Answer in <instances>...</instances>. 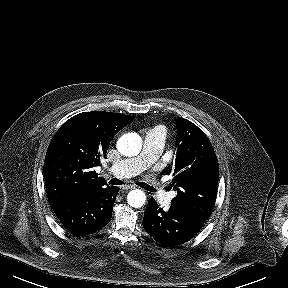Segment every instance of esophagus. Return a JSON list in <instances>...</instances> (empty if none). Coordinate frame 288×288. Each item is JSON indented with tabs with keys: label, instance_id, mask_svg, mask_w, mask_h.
Wrapping results in <instances>:
<instances>
[{
	"label": "esophagus",
	"instance_id": "1",
	"mask_svg": "<svg viewBox=\"0 0 288 288\" xmlns=\"http://www.w3.org/2000/svg\"><path fill=\"white\" fill-rule=\"evenodd\" d=\"M134 188H136V186H134V185H125V186H123V189H134Z\"/></svg>",
	"mask_w": 288,
	"mask_h": 288
}]
</instances>
